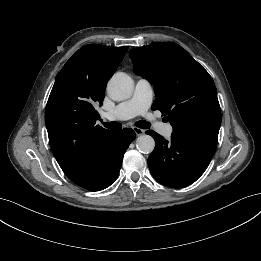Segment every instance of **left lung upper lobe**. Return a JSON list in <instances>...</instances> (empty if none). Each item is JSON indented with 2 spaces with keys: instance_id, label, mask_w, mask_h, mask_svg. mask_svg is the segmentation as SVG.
<instances>
[{
  "instance_id": "left-lung-upper-lobe-1",
  "label": "left lung upper lobe",
  "mask_w": 261,
  "mask_h": 261,
  "mask_svg": "<svg viewBox=\"0 0 261 261\" xmlns=\"http://www.w3.org/2000/svg\"><path fill=\"white\" fill-rule=\"evenodd\" d=\"M134 72L154 85L152 109L160 110L173 134L217 143L221 109L208 72L176 43L131 50Z\"/></svg>"
}]
</instances>
